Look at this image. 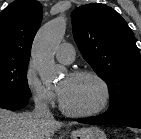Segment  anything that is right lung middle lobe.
<instances>
[{"mask_svg":"<svg viewBox=\"0 0 141 139\" xmlns=\"http://www.w3.org/2000/svg\"><path fill=\"white\" fill-rule=\"evenodd\" d=\"M29 60H0V99L30 98L26 72Z\"/></svg>","mask_w":141,"mask_h":139,"instance_id":"1","label":"right lung middle lobe"}]
</instances>
